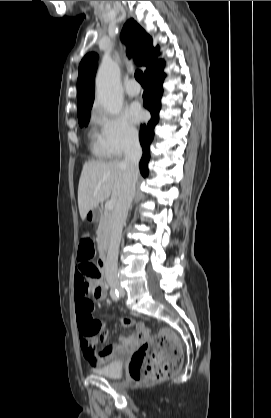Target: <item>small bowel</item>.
<instances>
[{"label": "small bowel", "mask_w": 271, "mask_h": 418, "mask_svg": "<svg viewBox=\"0 0 271 418\" xmlns=\"http://www.w3.org/2000/svg\"><path fill=\"white\" fill-rule=\"evenodd\" d=\"M74 287V313L78 330L80 332V346L83 356L94 367H100L114 358L124 355L129 347L135 346L144 336L143 325L137 324L135 335L131 337L121 336L117 344L105 345L97 350L99 342L105 341L108 333H99L103 325L100 316L94 313L95 301H103L106 298V288L102 281V268L94 265L93 261H77L76 272L73 281ZM123 327H132L135 321L132 318L120 319ZM97 333V334H95Z\"/></svg>", "instance_id": "1"}]
</instances>
